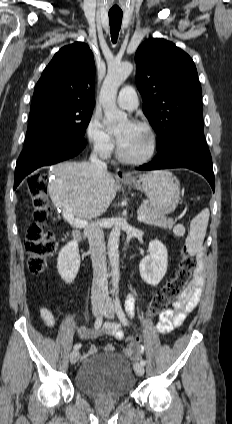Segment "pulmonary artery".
Wrapping results in <instances>:
<instances>
[{"label": "pulmonary artery", "instance_id": "obj_1", "mask_svg": "<svg viewBox=\"0 0 232 424\" xmlns=\"http://www.w3.org/2000/svg\"><path fill=\"white\" fill-rule=\"evenodd\" d=\"M117 104L126 110H134L139 104L136 90L131 86L123 87L117 97Z\"/></svg>", "mask_w": 232, "mask_h": 424}]
</instances>
